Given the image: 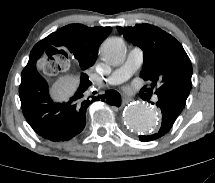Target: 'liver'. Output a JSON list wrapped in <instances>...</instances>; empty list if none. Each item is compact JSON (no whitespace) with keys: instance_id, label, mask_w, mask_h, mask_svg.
Instances as JSON below:
<instances>
[{"instance_id":"1","label":"liver","mask_w":215,"mask_h":183,"mask_svg":"<svg viewBox=\"0 0 215 183\" xmlns=\"http://www.w3.org/2000/svg\"><path fill=\"white\" fill-rule=\"evenodd\" d=\"M78 78L74 75L60 77L52 86L51 94L55 100H67L76 90Z\"/></svg>"}]
</instances>
